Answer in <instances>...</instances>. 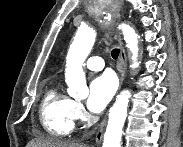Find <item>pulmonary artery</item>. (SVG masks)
I'll return each instance as SVG.
<instances>
[{
    "instance_id": "e3ab8cb5",
    "label": "pulmonary artery",
    "mask_w": 183,
    "mask_h": 147,
    "mask_svg": "<svg viewBox=\"0 0 183 147\" xmlns=\"http://www.w3.org/2000/svg\"><path fill=\"white\" fill-rule=\"evenodd\" d=\"M85 65L89 70L100 71L104 68L105 64L101 57L93 56L86 61Z\"/></svg>"
}]
</instances>
